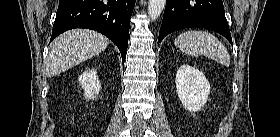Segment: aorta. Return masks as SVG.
Here are the masks:
<instances>
[{
  "label": "aorta",
  "mask_w": 280,
  "mask_h": 137,
  "mask_svg": "<svg viewBox=\"0 0 280 137\" xmlns=\"http://www.w3.org/2000/svg\"><path fill=\"white\" fill-rule=\"evenodd\" d=\"M166 0H149L148 15L152 21L156 20L164 10Z\"/></svg>",
  "instance_id": "aorta-1"
}]
</instances>
